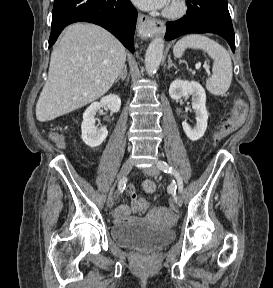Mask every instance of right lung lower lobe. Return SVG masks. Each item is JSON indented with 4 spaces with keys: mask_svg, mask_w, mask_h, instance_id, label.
<instances>
[{
    "mask_svg": "<svg viewBox=\"0 0 273 288\" xmlns=\"http://www.w3.org/2000/svg\"><path fill=\"white\" fill-rule=\"evenodd\" d=\"M137 11L129 0H54L49 48L62 30L74 22L100 25L134 52Z\"/></svg>",
    "mask_w": 273,
    "mask_h": 288,
    "instance_id": "1",
    "label": "right lung lower lobe"
}]
</instances>
